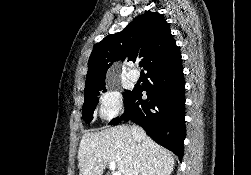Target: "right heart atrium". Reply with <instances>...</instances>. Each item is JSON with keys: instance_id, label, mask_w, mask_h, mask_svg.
Wrapping results in <instances>:
<instances>
[{"instance_id": "obj_1", "label": "right heart atrium", "mask_w": 251, "mask_h": 175, "mask_svg": "<svg viewBox=\"0 0 251 175\" xmlns=\"http://www.w3.org/2000/svg\"><path fill=\"white\" fill-rule=\"evenodd\" d=\"M107 83L109 87L102 94L97 103L98 116L102 120H111L116 117L121 111L123 100L120 92L112 87L113 78L108 77Z\"/></svg>"}]
</instances>
